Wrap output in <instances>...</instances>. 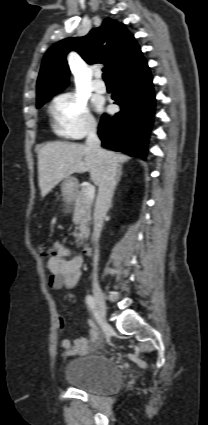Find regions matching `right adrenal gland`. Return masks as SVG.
Segmentation results:
<instances>
[{"instance_id": "right-adrenal-gland-1", "label": "right adrenal gland", "mask_w": 208, "mask_h": 425, "mask_svg": "<svg viewBox=\"0 0 208 425\" xmlns=\"http://www.w3.org/2000/svg\"><path fill=\"white\" fill-rule=\"evenodd\" d=\"M121 176H122V166L120 165L117 170L116 185H118V183L120 182Z\"/></svg>"}]
</instances>
